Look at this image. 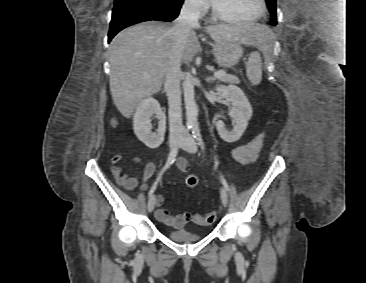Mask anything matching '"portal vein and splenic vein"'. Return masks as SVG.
Returning <instances> with one entry per match:
<instances>
[{"label": "portal vein and splenic vein", "mask_w": 366, "mask_h": 283, "mask_svg": "<svg viewBox=\"0 0 366 283\" xmlns=\"http://www.w3.org/2000/svg\"><path fill=\"white\" fill-rule=\"evenodd\" d=\"M225 74H226L225 70H220V71L214 72L215 77H223Z\"/></svg>", "instance_id": "obj_1"}]
</instances>
